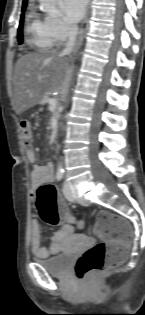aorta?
Returning <instances> with one entry per match:
<instances>
[{
	"instance_id": "1",
	"label": "aorta",
	"mask_w": 145,
	"mask_h": 315,
	"mask_svg": "<svg viewBox=\"0 0 145 315\" xmlns=\"http://www.w3.org/2000/svg\"><path fill=\"white\" fill-rule=\"evenodd\" d=\"M40 1V8L44 12H51V13H56V1L57 0H39ZM58 174L62 175L63 174V167L62 164L59 163L58 169H57Z\"/></svg>"
}]
</instances>
